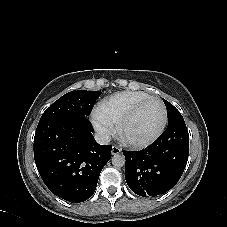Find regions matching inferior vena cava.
I'll return each instance as SVG.
<instances>
[{
	"label": "inferior vena cava",
	"instance_id": "1",
	"mask_svg": "<svg viewBox=\"0 0 227 227\" xmlns=\"http://www.w3.org/2000/svg\"><path fill=\"white\" fill-rule=\"evenodd\" d=\"M94 138H95L96 142L101 145H106L111 140V137L107 133H103V132L95 133Z\"/></svg>",
	"mask_w": 227,
	"mask_h": 227
}]
</instances>
